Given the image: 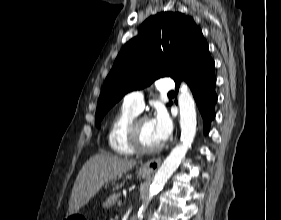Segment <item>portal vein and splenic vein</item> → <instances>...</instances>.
<instances>
[{
	"mask_svg": "<svg viewBox=\"0 0 281 220\" xmlns=\"http://www.w3.org/2000/svg\"><path fill=\"white\" fill-rule=\"evenodd\" d=\"M121 206H122V201L119 200V201H118V207H121Z\"/></svg>",
	"mask_w": 281,
	"mask_h": 220,
	"instance_id": "portal-vein-and-splenic-vein-1",
	"label": "portal vein and splenic vein"
}]
</instances>
